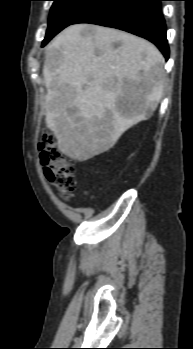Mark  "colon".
Returning <instances> with one entry per match:
<instances>
[{
    "mask_svg": "<svg viewBox=\"0 0 193 349\" xmlns=\"http://www.w3.org/2000/svg\"><path fill=\"white\" fill-rule=\"evenodd\" d=\"M43 171L48 181L69 199L76 187L73 164L60 152L53 134H44L38 144Z\"/></svg>",
    "mask_w": 193,
    "mask_h": 349,
    "instance_id": "5ec220e1",
    "label": "colon"
}]
</instances>
